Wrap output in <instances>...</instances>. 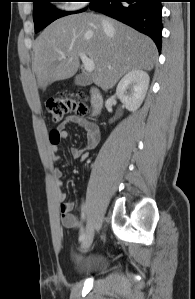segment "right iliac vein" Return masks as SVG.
<instances>
[{
    "mask_svg": "<svg viewBox=\"0 0 195 299\" xmlns=\"http://www.w3.org/2000/svg\"><path fill=\"white\" fill-rule=\"evenodd\" d=\"M93 238H94V230L92 225L89 223L86 227L85 237L82 242V246H81L82 251L86 252L90 248L93 242Z\"/></svg>",
    "mask_w": 195,
    "mask_h": 299,
    "instance_id": "obj_1",
    "label": "right iliac vein"
}]
</instances>
